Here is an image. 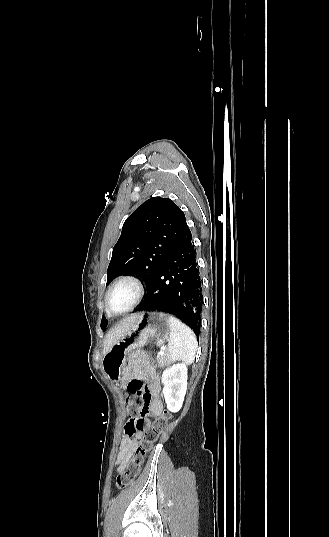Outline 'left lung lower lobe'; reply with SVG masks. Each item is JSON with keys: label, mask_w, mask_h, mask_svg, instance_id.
Here are the masks:
<instances>
[{"label": "left lung lower lobe", "mask_w": 329, "mask_h": 537, "mask_svg": "<svg viewBox=\"0 0 329 537\" xmlns=\"http://www.w3.org/2000/svg\"><path fill=\"white\" fill-rule=\"evenodd\" d=\"M135 311H163L177 316L200 335L202 283L191 233L167 256Z\"/></svg>", "instance_id": "0a47b994"}]
</instances>
